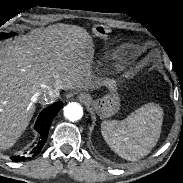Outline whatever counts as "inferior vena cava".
I'll return each instance as SVG.
<instances>
[{
	"instance_id": "602c4592",
	"label": "inferior vena cava",
	"mask_w": 183,
	"mask_h": 183,
	"mask_svg": "<svg viewBox=\"0 0 183 183\" xmlns=\"http://www.w3.org/2000/svg\"><path fill=\"white\" fill-rule=\"evenodd\" d=\"M62 89V86H47L36 93L34 96L35 101L47 102L56 99L60 96V91Z\"/></svg>"
}]
</instances>
